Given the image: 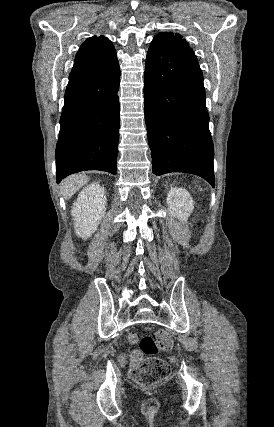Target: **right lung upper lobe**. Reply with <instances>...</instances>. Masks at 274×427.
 <instances>
[{
  "instance_id": "1",
  "label": "right lung upper lobe",
  "mask_w": 274,
  "mask_h": 427,
  "mask_svg": "<svg viewBox=\"0 0 274 427\" xmlns=\"http://www.w3.org/2000/svg\"><path fill=\"white\" fill-rule=\"evenodd\" d=\"M117 61L116 51L108 38L90 37L76 54L69 79L98 73Z\"/></svg>"
}]
</instances>
